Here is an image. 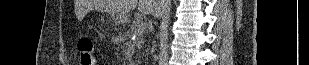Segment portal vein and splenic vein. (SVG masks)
I'll return each mask as SVG.
<instances>
[{
    "label": "portal vein and splenic vein",
    "mask_w": 309,
    "mask_h": 65,
    "mask_svg": "<svg viewBox=\"0 0 309 65\" xmlns=\"http://www.w3.org/2000/svg\"><path fill=\"white\" fill-rule=\"evenodd\" d=\"M144 27H145V23H144V22H142V23H141V25L139 26V29L143 30V29H144Z\"/></svg>",
    "instance_id": "portal-vein-and-splenic-vein-1"
}]
</instances>
